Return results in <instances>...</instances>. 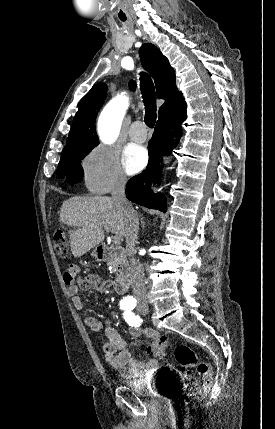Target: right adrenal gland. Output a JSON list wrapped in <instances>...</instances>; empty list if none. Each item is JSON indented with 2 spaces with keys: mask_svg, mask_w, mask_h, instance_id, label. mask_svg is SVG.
Returning a JSON list of instances; mask_svg holds the SVG:
<instances>
[{
  "mask_svg": "<svg viewBox=\"0 0 275 429\" xmlns=\"http://www.w3.org/2000/svg\"><path fill=\"white\" fill-rule=\"evenodd\" d=\"M141 224H142V228L144 229L145 227V222L143 221V219L141 218Z\"/></svg>",
  "mask_w": 275,
  "mask_h": 429,
  "instance_id": "1",
  "label": "right adrenal gland"
}]
</instances>
